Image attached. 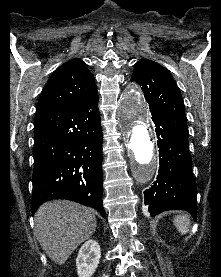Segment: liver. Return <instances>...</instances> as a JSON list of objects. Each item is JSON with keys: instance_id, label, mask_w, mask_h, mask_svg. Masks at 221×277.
<instances>
[{"instance_id": "obj_1", "label": "liver", "mask_w": 221, "mask_h": 277, "mask_svg": "<svg viewBox=\"0 0 221 277\" xmlns=\"http://www.w3.org/2000/svg\"><path fill=\"white\" fill-rule=\"evenodd\" d=\"M94 210L67 200L42 204L35 214L34 234L56 264L66 262L73 251L95 232Z\"/></svg>"}]
</instances>
